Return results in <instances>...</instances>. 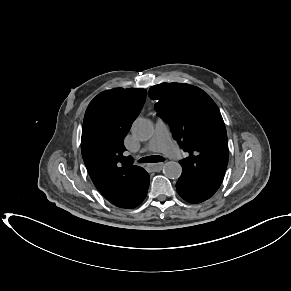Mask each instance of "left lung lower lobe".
I'll use <instances>...</instances> for the list:
<instances>
[{
	"instance_id": "obj_1",
	"label": "left lung lower lobe",
	"mask_w": 291,
	"mask_h": 291,
	"mask_svg": "<svg viewBox=\"0 0 291 291\" xmlns=\"http://www.w3.org/2000/svg\"><path fill=\"white\" fill-rule=\"evenodd\" d=\"M178 194L187 202L192 204L201 203L212 197L218 188L209 186L198 179L184 173L176 183Z\"/></svg>"
}]
</instances>
